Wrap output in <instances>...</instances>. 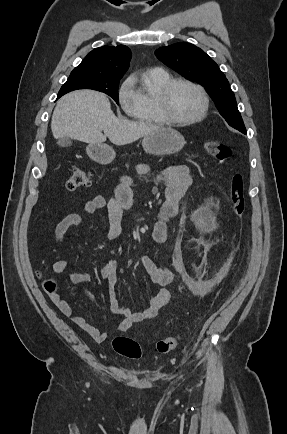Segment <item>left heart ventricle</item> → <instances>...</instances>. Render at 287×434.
<instances>
[{
	"mask_svg": "<svg viewBox=\"0 0 287 434\" xmlns=\"http://www.w3.org/2000/svg\"><path fill=\"white\" fill-rule=\"evenodd\" d=\"M202 106L201 96L197 90L185 84H179L172 90L169 107L171 114L178 119L196 116Z\"/></svg>",
	"mask_w": 287,
	"mask_h": 434,
	"instance_id": "1",
	"label": "left heart ventricle"
}]
</instances>
